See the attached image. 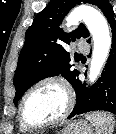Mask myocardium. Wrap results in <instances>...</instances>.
<instances>
[{
	"label": "myocardium",
	"instance_id": "obj_1",
	"mask_svg": "<svg viewBox=\"0 0 116 134\" xmlns=\"http://www.w3.org/2000/svg\"><path fill=\"white\" fill-rule=\"evenodd\" d=\"M46 84H56L63 90V92L66 96L65 108H64L63 112L59 116L55 117L54 119H51L49 121L42 122V123H37V124L31 123L24 116L25 100L34 89H36L42 85H46ZM74 101H75L74 93H73L70 85L65 80H63L62 78H59V77H55V76H49V77L42 78V79L38 80L37 82H35L34 84H32L23 94V96L20 100V103H19V111H18L19 120L25 127L29 128V129H42V128H46V127H50V126L59 124L62 121H64L68 117L70 112L72 111L73 106H74Z\"/></svg>",
	"mask_w": 116,
	"mask_h": 134
}]
</instances>
